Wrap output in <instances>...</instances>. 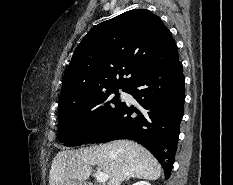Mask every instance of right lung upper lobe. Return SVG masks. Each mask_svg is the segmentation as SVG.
Wrapping results in <instances>:
<instances>
[{"label": "right lung upper lobe", "mask_w": 233, "mask_h": 185, "mask_svg": "<svg viewBox=\"0 0 233 185\" xmlns=\"http://www.w3.org/2000/svg\"><path fill=\"white\" fill-rule=\"evenodd\" d=\"M176 59V43L157 15L146 9L124 12L93 27L77 46L63 78L60 108L106 90L127 89Z\"/></svg>", "instance_id": "1"}]
</instances>
